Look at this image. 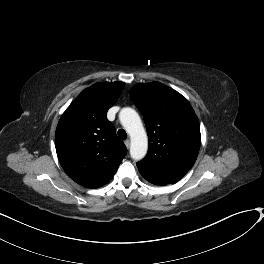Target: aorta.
Wrapping results in <instances>:
<instances>
[{"instance_id": "762f6f07", "label": "aorta", "mask_w": 264, "mask_h": 264, "mask_svg": "<svg viewBox=\"0 0 264 264\" xmlns=\"http://www.w3.org/2000/svg\"><path fill=\"white\" fill-rule=\"evenodd\" d=\"M119 119L123 127L130 135V155L134 160H141L145 157L148 149L147 134L142 125L138 113L130 108L125 107L119 113Z\"/></svg>"}]
</instances>
